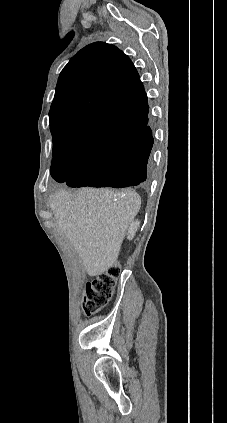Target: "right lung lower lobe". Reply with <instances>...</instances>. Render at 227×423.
Returning a JSON list of instances; mask_svg holds the SVG:
<instances>
[{
    "label": "right lung lower lobe",
    "mask_w": 227,
    "mask_h": 423,
    "mask_svg": "<svg viewBox=\"0 0 227 423\" xmlns=\"http://www.w3.org/2000/svg\"><path fill=\"white\" fill-rule=\"evenodd\" d=\"M108 120H124L132 126L129 137L102 145L88 153L71 173L68 161L52 162L51 176L69 187L124 188L146 184L152 169L153 136L148 124L147 97L130 103L105 106L98 111Z\"/></svg>",
    "instance_id": "obj_1"
}]
</instances>
